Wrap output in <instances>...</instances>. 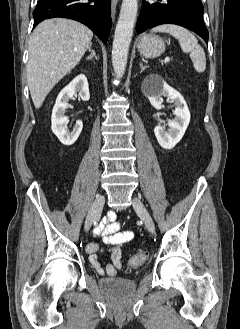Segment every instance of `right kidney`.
<instances>
[{
  "instance_id": "right-kidney-1",
  "label": "right kidney",
  "mask_w": 240,
  "mask_h": 329,
  "mask_svg": "<svg viewBox=\"0 0 240 329\" xmlns=\"http://www.w3.org/2000/svg\"><path fill=\"white\" fill-rule=\"evenodd\" d=\"M76 93H79L83 101H88L90 99L88 81L83 74L78 75L62 89L56 99L51 116V129L60 142L66 146L72 145L77 140L83 128V123L80 120L76 122L71 132H69L66 127L68 117L64 115L65 110L68 107L69 99Z\"/></svg>"
}]
</instances>
